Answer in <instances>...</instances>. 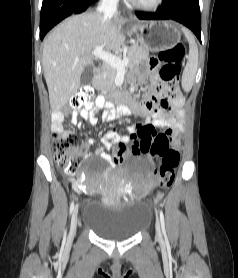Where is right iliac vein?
Here are the masks:
<instances>
[{"mask_svg":"<svg viewBox=\"0 0 238 278\" xmlns=\"http://www.w3.org/2000/svg\"><path fill=\"white\" fill-rule=\"evenodd\" d=\"M77 222H78V206H76L74 208L73 213H72L71 226H70V232H69L70 239H72L76 233Z\"/></svg>","mask_w":238,"mask_h":278,"instance_id":"obj_1","label":"right iliac vein"}]
</instances>
